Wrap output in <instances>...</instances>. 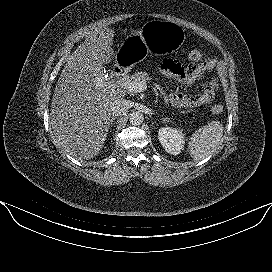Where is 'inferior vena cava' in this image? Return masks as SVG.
I'll return each instance as SVG.
<instances>
[{
  "mask_svg": "<svg viewBox=\"0 0 272 272\" xmlns=\"http://www.w3.org/2000/svg\"><path fill=\"white\" fill-rule=\"evenodd\" d=\"M111 112L113 116L124 115L129 109V102L125 99H117L111 104Z\"/></svg>",
  "mask_w": 272,
  "mask_h": 272,
  "instance_id": "inferior-vena-cava-1",
  "label": "inferior vena cava"
}]
</instances>
